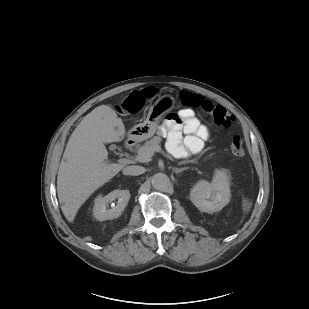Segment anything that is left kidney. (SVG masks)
I'll use <instances>...</instances> for the list:
<instances>
[{"mask_svg":"<svg viewBox=\"0 0 309 309\" xmlns=\"http://www.w3.org/2000/svg\"><path fill=\"white\" fill-rule=\"evenodd\" d=\"M230 184L225 170H215L211 183L201 180L190 191V200L202 212L214 213L230 201Z\"/></svg>","mask_w":309,"mask_h":309,"instance_id":"obj_1","label":"left kidney"}]
</instances>
